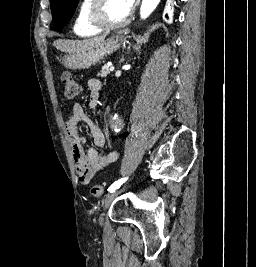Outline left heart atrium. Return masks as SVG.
Segmentation results:
<instances>
[{
  "instance_id": "39dd6f15",
  "label": "left heart atrium",
  "mask_w": 256,
  "mask_h": 267,
  "mask_svg": "<svg viewBox=\"0 0 256 267\" xmlns=\"http://www.w3.org/2000/svg\"><path fill=\"white\" fill-rule=\"evenodd\" d=\"M115 1L119 4L125 15L132 14L136 0H115ZM125 24L126 23H124L123 25Z\"/></svg>"
}]
</instances>
